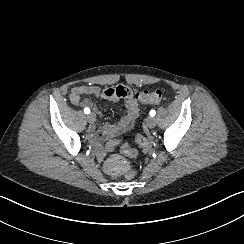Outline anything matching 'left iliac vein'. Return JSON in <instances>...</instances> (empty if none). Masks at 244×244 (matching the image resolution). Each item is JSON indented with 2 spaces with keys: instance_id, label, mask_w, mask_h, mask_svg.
Listing matches in <instances>:
<instances>
[{
  "instance_id": "obj_1",
  "label": "left iliac vein",
  "mask_w": 244,
  "mask_h": 244,
  "mask_svg": "<svg viewBox=\"0 0 244 244\" xmlns=\"http://www.w3.org/2000/svg\"><path fill=\"white\" fill-rule=\"evenodd\" d=\"M146 125L149 127V128H154L155 125H156V120L155 118L153 117H148L145 121Z\"/></svg>"
}]
</instances>
